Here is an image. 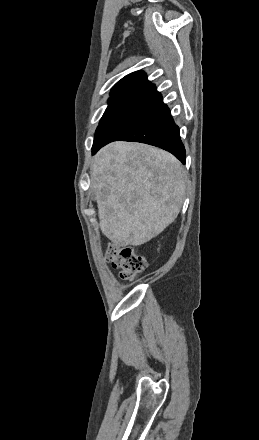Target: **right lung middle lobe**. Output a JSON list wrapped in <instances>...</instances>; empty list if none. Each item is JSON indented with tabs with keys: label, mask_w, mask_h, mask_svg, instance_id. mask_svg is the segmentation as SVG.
<instances>
[{
	"label": "right lung middle lobe",
	"mask_w": 259,
	"mask_h": 440,
	"mask_svg": "<svg viewBox=\"0 0 259 440\" xmlns=\"http://www.w3.org/2000/svg\"><path fill=\"white\" fill-rule=\"evenodd\" d=\"M146 94H115L108 100V107L96 129L94 141L107 136L142 101Z\"/></svg>",
	"instance_id": "1"
}]
</instances>
